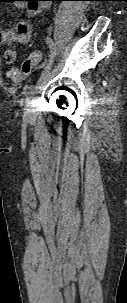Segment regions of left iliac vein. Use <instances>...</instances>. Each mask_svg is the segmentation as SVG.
<instances>
[{
	"instance_id": "4c4485c4",
	"label": "left iliac vein",
	"mask_w": 127,
	"mask_h": 303,
	"mask_svg": "<svg viewBox=\"0 0 127 303\" xmlns=\"http://www.w3.org/2000/svg\"><path fill=\"white\" fill-rule=\"evenodd\" d=\"M52 76V72L49 70V72H47L46 74H44L41 79L40 82L38 84V88L36 89V91H34L32 93V95L27 99L26 104H25V116L30 119L33 117L34 115V109H33V100H34V96L39 92V90L50 80Z\"/></svg>"
}]
</instances>
